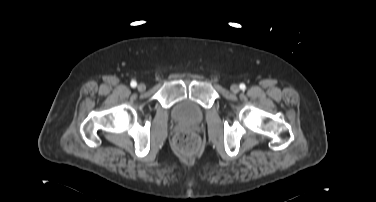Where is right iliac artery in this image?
<instances>
[{"instance_id": "82829eb1", "label": "right iliac artery", "mask_w": 376, "mask_h": 202, "mask_svg": "<svg viewBox=\"0 0 376 202\" xmlns=\"http://www.w3.org/2000/svg\"><path fill=\"white\" fill-rule=\"evenodd\" d=\"M130 85H131V87L135 88L137 86V82L136 81H132Z\"/></svg>"}]
</instances>
